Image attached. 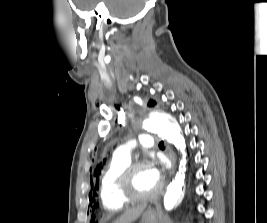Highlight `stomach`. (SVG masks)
<instances>
[{
  "label": "stomach",
  "mask_w": 267,
  "mask_h": 223,
  "mask_svg": "<svg viewBox=\"0 0 267 223\" xmlns=\"http://www.w3.org/2000/svg\"><path fill=\"white\" fill-rule=\"evenodd\" d=\"M161 217L157 209L149 207L143 214L140 223H160Z\"/></svg>",
  "instance_id": "stomach-1"
}]
</instances>
